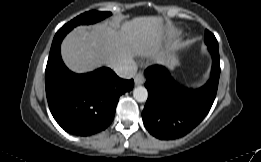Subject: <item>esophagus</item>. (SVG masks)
<instances>
[{
  "mask_svg": "<svg viewBox=\"0 0 261 162\" xmlns=\"http://www.w3.org/2000/svg\"><path fill=\"white\" fill-rule=\"evenodd\" d=\"M135 85H142L145 82V74L144 72H139L134 77Z\"/></svg>",
  "mask_w": 261,
  "mask_h": 162,
  "instance_id": "esophagus-1",
  "label": "esophagus"
}]
</instances>
